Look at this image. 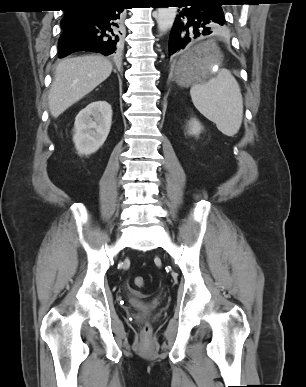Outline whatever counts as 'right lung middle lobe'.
<instances>
[{
    "mask_svg": "<svg viewBox=\"0 0 306 387\" xmlns=\"http://www.w3.org/2000/svg\"><path fill=\"white\" fill-rule=\"evenodd\" d=\"M76 21L77 20L71 15V17L63 18V20L61 21V26H62V28L68 27V26H71L74 23H76Z\"/></svg>",
    "mask_w": 306,
    "mask_h": 387,
    "instance_id": "obj_1",
    "label": "right lung middle lobe"
}]
</instances>
